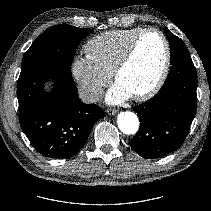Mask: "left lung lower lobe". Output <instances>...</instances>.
<instances>
[{"mask_svg": "<svg viewBox=\"0 0 211 211\" xmlns=\"http://www.w3.org/2000/svg\"><path fill=\"white\" fill-rule=\"evenodd\" d=\"M171 65L157 95L134 107L140 129L130 145L143 158H158L181 147L196 113L197 74L191 57Z\"/></svg>", "mask_w": 211, "mask_h": 211, "instance_id": "0a47b994", "label": "left lung lower lobe"}]
</instances>
